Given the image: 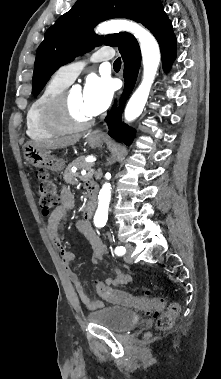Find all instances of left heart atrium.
I'll list each match as a JSON object with an SVG mask.
<instances>
[{
  "instance_id": "left-heart-atrium-1",
  "label": "left heart atrium",
  "mask_w": 221,
  "mask_h": 379,
  "mask_svg": "<svg viewBox=\"0 0 221 379\" xmlns=\"http://www.w3.org/2000/svg\"><path fill=\"white\" fill-rule=\"evenodd\" d=\"M114 89L107 77L90 75L82 92L84 108L91 116L105 111L110 105Z\"/></svg>"
}]
</instances>
